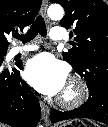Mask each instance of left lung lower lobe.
Segmentation results:
<instances>
[{
  "mask_svg": "<svg viewBox=\"0 0 108 127\" xmlns=\"http://www.w3.org/2000/svg\"><path fill=\"white\" fill-rule=\"evenodd\" d=\"M103 60L104 63H108V57H104ZM100 80H95L88 86L90 96L86 103L75 110L66 112L53 109L50 113L51 121L89 118L108 125V84L104 78Z\"/></svg>",
  "mask_w": 108,
  "mask_h": 127,
  "instance_id": "obj_1",
  "label": "left lung lower lobe"
}]
</instances>
